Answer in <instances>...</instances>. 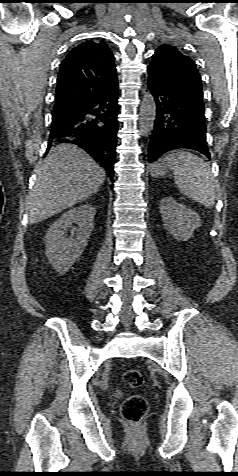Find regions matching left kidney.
I'll return each instance as SVG.
<instances>
[{
    "instance_id": "left-kidney-1",
    "label": "left kidney",
    "mask_w": 238,
    "mask_h": 476,
    "mask_svg": "<svg viewBox=\"0 0 238 476\" xmlns=\"http://www.w3.org/2000/svg\"><path fill=\"white\" fill-rule=\"evenodd\" d=\"M159 209L165 229L178 240H188L201 226L199 215L172 197L161 199Z\"/></svg>"
}]
</instances>
